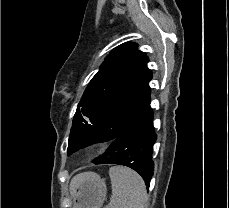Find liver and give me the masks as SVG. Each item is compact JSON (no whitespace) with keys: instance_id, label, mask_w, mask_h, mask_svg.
Wrapping results in <instances>:
<instances>
[{"instance_id":"6515ba94","label":"liver","mask_w":229,"mask_h":208,"mask_svg":"<svg viewBox=\"0 0 229 208\" xmlns=\"http://www.w3.org/2000/svg\"><path fill=\"white\" fill-rule=\"evenodd\" d=\"M96 176L97 174H94V172H83V174H77V176H74L70 182L71 194L79 184H83V182H87V180H93Z\"/></svg>"}]
</instances>
